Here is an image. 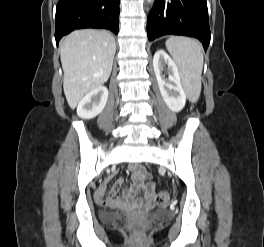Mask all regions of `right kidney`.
Returning a JSON list of instances; mask_svg holds the SVG:
<instances>
[{"mask_svg": "<svg viewBox=\"0 0 264 247\" xmlns=\"http://www.w3.org/2000/svg\"><path fill=\"white\" fill-rule=\"evenodd\" d=\"M108 99V89L100 86L86 94L78 104L77 115L83 119H92L100 114Z\"/></svg>", "mask_w": 264, "mask_h": 247, "instance_id": "1", "label": "right kidney"}]
</instances>
